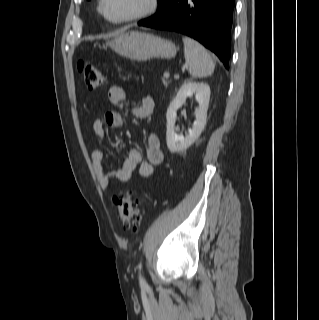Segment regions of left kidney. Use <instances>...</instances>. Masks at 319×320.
Segmentation results:
<instances>
[{"mask_svg": "<svg viewBox=\"0 0 319 320\" xmlns=\"http://www.w3.org/2000/svg\"><path fill=\"white\" fill-rule=\"evenodd\" d=\"M195 95L199 107L195 110L196 119L192 129L184 136H178L175 132L177 110L185 103L186 98ZM210 99V87L207 83L186 81L180 87L176 97L170 103L167 113L166 141L170 152L179 153L187 149L199 138L206 125L207 110Z\"/></svg>", "mask_w": 319, "mask_h": 320, "instance_id": "obj_1", "label": "left kidney"}]
</instances>
